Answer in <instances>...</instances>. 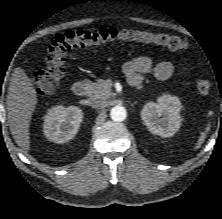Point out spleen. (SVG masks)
I'll return each instance as SVG.
<instances>
[{
    "instance_id": "1",
    "label": "spleen",
    "mask_w": 222,
    "mask_h": 219,
    "mask_svg": "<svg viewBox=\"0 0 222 219\" xmlns=\"http://www.w3.org/2000/svg\"><path fill=\"white\" fill-rule=\"evenodd\" d=\"M209 129H210V127L208 125V127H206L205 131L201 133L200 138L197 141L195 149H198L204 143V140L206 138V135H207V132L209 131Z\"/></svg>"
}]
</instances>
